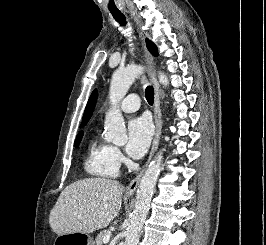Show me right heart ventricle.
I'll return each instance as SVG.
<instances>
[{
    "mask_svg": "<svg viewBox=\"0 0 266 245\" xmlns=\"http://www.w3.org/2000/svg\"><path fill=\"white\" fill-rule=\"evenodd\" d=\"M84 168L88 175L100 180L119 176V164L113 156L112 146L97 135H93L87 143Z\"/></svg>",
    "mask_w": 266,
    "mask_h": 245,
    "instance_id": "1",
    "label": "right heart ventricle"
}]
</instances>
